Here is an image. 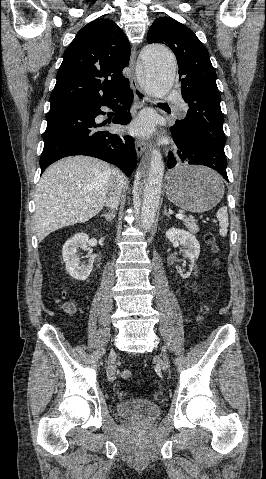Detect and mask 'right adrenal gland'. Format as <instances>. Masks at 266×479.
Listing matches in <instances>:
<instances>
[{
  "label": "right adrenal gland",
  "mask_w": 266,
  "mask_h": 479,
  "mask_svg": "<svg viewBox=\"0 0 266 479\" xmlns=\"http://www.w3.org/2000/svg\"><path fill=\"white\" fill-rule=\"evenodd\" d=\"M102 217L105 218L106 221L111 222L113 218L115 217V211H112L110 213L102 214Z\"/></svg>",
  "instance_id": "1"
}]
</instances>
